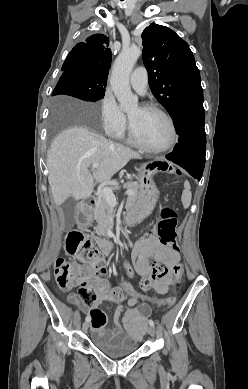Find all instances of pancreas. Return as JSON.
<instances>
[{
  "label": "pancreas",
  "mask_w": 248,
  "mask_h": 389,
  "mask_svg": "<svg viewBox=\"0 0 248 389\" xmlns=\"http://www.w3.org/2000/svg\"><path fill=\"white\" fill-rule=\"evenodd\" d=\"M124 188L127 189V191H132L133 194L128 196L127 199V207L129 209H132L136 201L138 199V196L140 194V191L142 190L141 184L137 182H128L123 185ZM119 187L117 185L112 186L111 189L115 190ZM111 212V206L107 202V200L101 195L98 201V205L95 209V220L97 222V226L95 227V231L97 235L99 236H107V229L109 226V217Z\"/></svg>",
  "instance_id": "obj_1"
}]
</instances>
